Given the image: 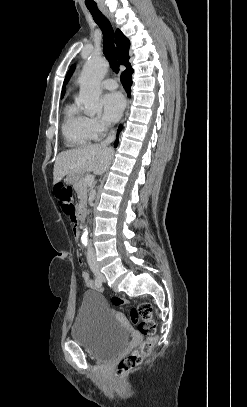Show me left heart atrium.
Wrapping results in <instances>:
<instances>
[{
  "mask_svg": "<svg viewBox=\"0 0 247 407\" xmlns=\"http://www.w3.org/2000/svg\"><path fill=\"white\" fill-rule=\"evenodd\" d=\"M103 117L107 122H116L125 107V100L119 92H110L101 99Z\"/></svg>",
  "mask_w": 247,
  "mask_h": 407,
  "instance_id": "obj_1",
  "label": "left heart atrium"
}]
</instances>
